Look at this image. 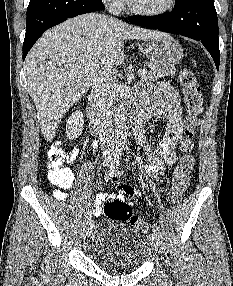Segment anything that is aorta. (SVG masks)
I'll return each mask as SVG.
<instances>
[{
	"mask_svg": "<svg viewBox=\"0 0 233 286\" xmlns=\"http://www.w3.org/2000/svg\"><path fill=\"white\" fill-rule=\"evenodd\" d=\"M127 110L125 107V102L122 101L115 111L114 121L116 129V139L118 142H123L126 138V129H127Z\"/></svg>",
	"mask_w": 233,
	"mask_h": 286,
	"instance_id": "aorta-1",
	"label": "aorta"
}]
</instances>
